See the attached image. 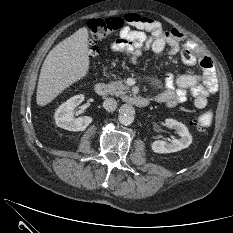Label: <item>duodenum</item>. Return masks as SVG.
<instances>
[{"mask_svg":"<svg viewBox=\"0 0 233 233\" xmlns=\"http://www.w3.org/2000/svg\"><path fill=\"white\" fill-rule=\"evenodd\" d=\"M95 92L99 96H106L108 94V88L106 84L100 82L95 85ZM124 99L127 103L140 108L146 107L149 104V99L143 97H136L130 95V96H125Z\"/></svg>","mask_w":233,"mask_h":233,"instance_id":"410a0bca","label":"duodenum"}]
</instances>
